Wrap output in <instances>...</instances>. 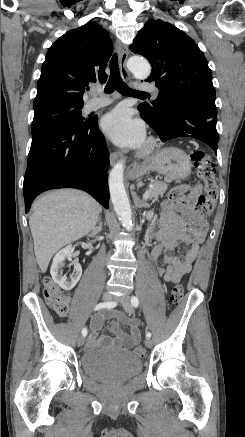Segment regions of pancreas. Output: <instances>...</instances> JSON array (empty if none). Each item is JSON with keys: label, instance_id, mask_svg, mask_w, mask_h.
Segmentation results:
<instances>
[{"label": "pancreas", "instance_id": "pancreas-1", "mask_svg": "<svg viewBox=\"0 0 245 437\" xmlns=\"http://www.w3.org/2000/svg\"><path fill=\"white\" fill-rule=\"evenodd\" d=\"M167 190V184L162 181H153L151 187L149 188V200L157 199Z\"/></svg>", "mask_w": 245, "mask_h": 437}]
</instances>
